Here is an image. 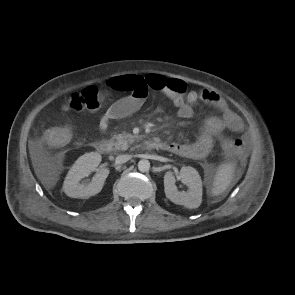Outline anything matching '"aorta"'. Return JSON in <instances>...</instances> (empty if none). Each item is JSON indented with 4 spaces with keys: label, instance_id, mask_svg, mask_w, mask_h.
I'll list each match as a JSON object with an SVG mask.
<instances>
[{
    "label": "aorta",
    "instance_id": "aorta-1",
    "mask_svg": "<svg viewBox=\"0 0 295 295\" xmlns=\"http://www.w3.org/2000/svg\"><path fill=\"white\" fill-rule=\"evenodd\" d=\"M138 169L140 172H147L150 169V162L146 159H142L138 162Z\"/></svg>",
    "mask_w": 295,
    "mask_h": 295
}]
</instances>
